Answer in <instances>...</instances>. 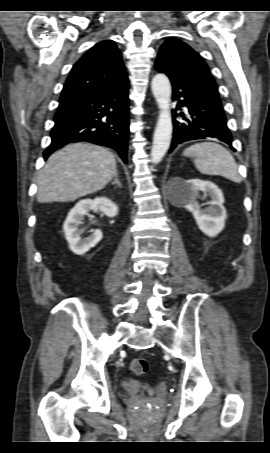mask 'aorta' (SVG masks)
<instances>
[{
    "label": "aorta",
    "instance_id": "1",
    "mask_svg": "<svg viewBox=\"0 0 270 453\" xmlns=\"http://www.w3.org/2000/svg\"><path fill=\"white\" fill-rule=\"evenodd\" d=\"M151 88L160 109L151 149L152 162L158 164L165 156L170 146L172 136L173 126L170 112V81L166 75L156 74L152 79Z\"/></svg>",
    "mask_w": 270,
    "mask_h": 453
}]
</instances>
